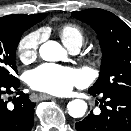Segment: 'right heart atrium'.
<instances>
[{"label":"right heart atrium","instance_id":"1","mask_svg":"<svg viewBox=\"0 0 131 131\" xmlns=\"http://www.w3.org/2000/svg\"><path fill=\"white\" fill-rule=\"evenodd\" d=\"M43 40L40 30L30 32L23 36L18 43V55L22 62H30L38 55L39 46Z\"/></svg>","mask_w":131,"mask_h":131}]
</instances>
